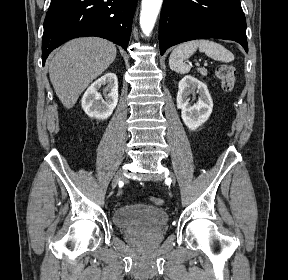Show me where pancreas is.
<instances>
[{
    "label": "pancreas",
    "instance_id": "cf45deb5",
    "mask_svg": "<svg viewBox=\"0 0 288 280\" xmlns=\"http://www.w3.org/2000/svg\"><path fill=\"white\" fill-rule=\"evenodd\" d=\"M198 72H199L201 75H203V76H207V70L204 69V68L198 69Z\"/></svg>",
    "mask_w": 288,
    "mask_h": 280
}]
</instances>
